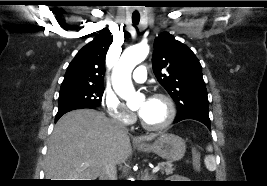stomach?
Returning a JSON list of instances; mask_svg holds the SVG:
<instances>
[{
  "label": "stomach",
  "mask_w": 267,
  "mask_h": 186,
  "mask_svg": "<svg viewBox=\"0 0 267 186\" xmlns=\"http://www.w3.org/2000/svg\"><path fill=\"white\" fill-rule=\"evenodd\" d=\"M138 149L143 152H153L168 161H178L186 151L185 141L174 134L162 133L152 144H140Z\"/></svg>",
  "instance_id": "stomach-1"
}]
</instances>
